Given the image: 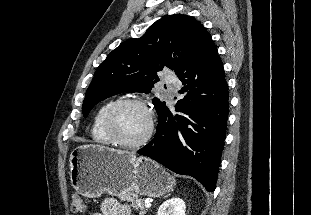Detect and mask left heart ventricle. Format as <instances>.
Listing matches in <instances>:
<instances>
[{"instance_id":"obj_1","label":"left heart ventricle","mask_w":311,"mask_h":215,"mask_svg":"<svg viewBox=\"0 0 311 215\" xmlns=\"http://www.w3.org/2000/svg\"><path fill=\"white\" fill-rule=\"evenodd\" d=\"M116 128L122 139L128 142L140 140L148 129V115L140 106H126L117 115Z\"/></svg>"}]
</instances>
